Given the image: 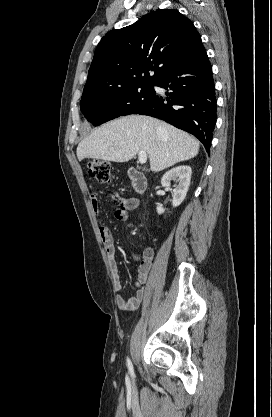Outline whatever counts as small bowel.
Wrapping results in <instances>:
<instances>
[{"label":"small bowel","instance_id":"obj_1","mask_svg":"<svg viewBox=\"0 0 272 417\" xmlns=\"http://www.w3.org/2000/svg\"><path fill=\"white\" fill-rule=\"evenodd\" d=\"M100 194L108 195L115 202L114 215L117 220H125L128 217L129 211L134 210L139 205V201L136 198H124L115 191L100 190L92 194L90 199L92 208L97 215L100 213ZM100 233L111 270L112 287L115 292L120 293L123 290V284L121 282L120 270L116 260V248L113 235L109 228L102 222L100 223ZM135 259L139 262L138 276L134 283L136 287L135 294L131 297H125L118 294L115 297L118 308L125 311H131L138 308L144 298L145 285L153 262V250L151 248H146L142 252H137L135 254Z\"/></svg>","mask_w":272,"mask_h":417}]
</instances>
